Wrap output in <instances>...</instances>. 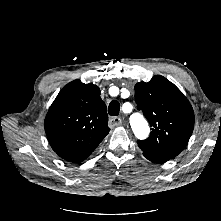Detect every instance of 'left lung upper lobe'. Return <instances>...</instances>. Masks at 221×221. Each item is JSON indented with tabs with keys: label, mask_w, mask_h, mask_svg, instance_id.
Masks as SVG:
<instances>
[{
	"label": "left lung upper lobe",
	"mask_w": 221,
	"mask_h": 221,
	"mask_svg": "<svg viewBox=\"0 0 221 221\" xmlns=\"http://www.w3.org/2000/svg\"><path fill=\"white\" fill-rule=\"evenodd\" d=\"M135 100L151 128L150 136L138 141L143 154L173 159L187 145L194 127V112L182 92L163 76L135 85Z\"/></svg>",
	"instance_id": "obj_1"
}]
</instances>
